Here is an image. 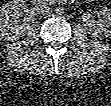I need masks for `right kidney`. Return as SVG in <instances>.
Segmentation results:
<instances>
[{"mask_svg":"<svg viewBox=\"0 0 111 106\" xmlns=\"http://www.w3.org/2000/svg\"><path fill=\"white\" fill-rule=\"evenodd\" d=\"M26 9L24 1L12 0L5 3L0 10L1 37L5 40L19 39L26 34L30 23L34 20L26 16L23 20L18 19L19 11Z\"/></svg>","mask_w":111,"mask_h":106,"instance_id":"right-kidney-1","label":"right kidney"}]
</instances>
